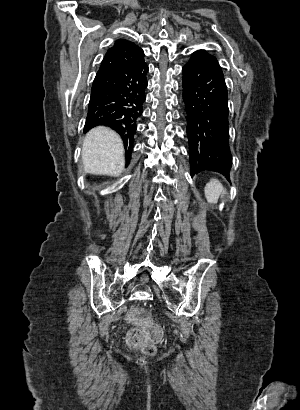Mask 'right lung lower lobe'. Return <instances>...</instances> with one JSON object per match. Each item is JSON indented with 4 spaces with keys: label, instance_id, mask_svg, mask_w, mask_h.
I'll return each instance as SVG.
<instances>
[{
    "label": "right lung lower lobe",
    "instance_id": "98d812e1",
    "mask_svg": "<svg viewBox=\"0 0 300 410\" xmlns=\"http://www.w3.org/2000/svg\"><path fill=\"white\" fill-rule=\"evenodd\" d=\"M147 71L144 59L125 63L98 72L92 85L84 131L98 125L115 130L123 139L127 161L146 98Z\"/></svg>",
    "mask_w": 300,
    "mask_h": 410
}]
</instances>
